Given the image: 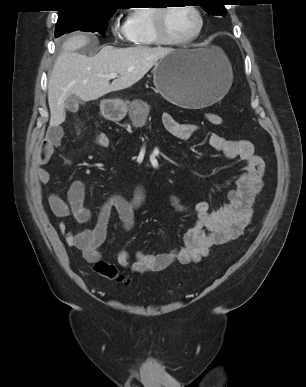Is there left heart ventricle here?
<instances>
[{
	"label": "left heart ventricle",
	"instance_id": "obj_1",
	"mask_svg": "<svg viewBox=\"0 0 306 387\" xmlns=\"http://www.w3.org/2000/svg\"><path fill=\"white\" fill-rule=\"evenodd\" d=\"M198 20L195 13L188 7H171L166 13L165 29L174 39H184L197 28Z\"/></svg>",
	"mask_w": 306,
	"mask_h": 387
}]
</instances>
